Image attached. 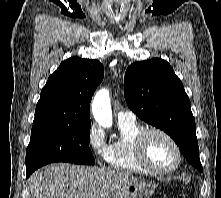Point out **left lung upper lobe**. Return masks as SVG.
<instances>
[{"mask_svg":"<svg viewBox=\"0 0 221 198\" xmlns=\"http://www.w3.org/2000/svg\"><path fill=\"white\" fill-rule=\"evenodd\" d=\"M124 96L137 116L170 135L186 160L203 172L190 100L167 61L155 58L130 65Z\"/></svg>","mask_w":221,"mask_h":198,"instance_id":"left-lung-upper-lobe-1","label":"left lung upper lobe"}]
</instances>
